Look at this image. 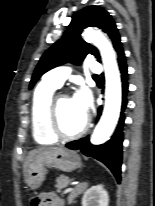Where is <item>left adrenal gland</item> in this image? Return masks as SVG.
<instances>
[{
  "label": "left adrenal gland",
  "mask_w": 155,
  "mask_h": 206,
  "mask_svg": "<svg viewBox=\"0 0 155 206\" xmlns=\"http://www.w3.org/2000/svg\"><path fill=\"white\" fill-rule=\"evenodd\" d=\"M88 183L87 182H83L81 184H79L75 189H73L70 194L68 195V204H72L73 200L75 197H77L78 195H80L81 193H83L85 191V189L87 188Z\"/></svg>",
  "instance_id": "left-adrenal-gland-1"
}]
</instances>
